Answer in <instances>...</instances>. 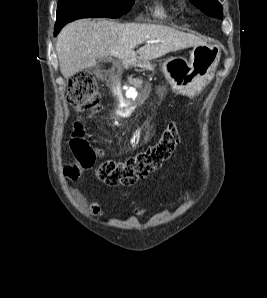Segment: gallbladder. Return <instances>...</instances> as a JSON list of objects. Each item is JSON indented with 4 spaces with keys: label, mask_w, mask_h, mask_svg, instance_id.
I'll use <instances>...</instances> for the list:
<instances>
[{
    "label": "gallbladder",
    "mask_w": 267,
    "mask_h": 298,
    "mask_svg": "<svg viewBox=\"0 0 267 298\" xmlns=\"http://www.w3.org/2000/svg\"><path fill=\"white\" fill-rule=\"evenodd\" d=\"M105 60H112L111 57H106V58H98L97 61L101 62V61H105Z\"/></svg>",
    "instance_id": "1"
}]
</instances>
